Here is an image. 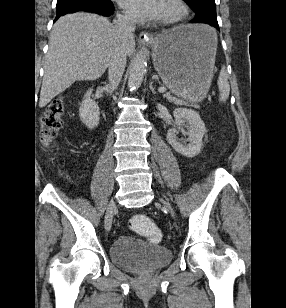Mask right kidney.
Returning <instances> with one entry per match:
<instances>
[{"instance_id": "ca27d5eb", "label": "right kidney", "mask_w": 286, "mask_h": 308, "mask_svg": "<svg viewBox=\"0 0 286 308\" xmlns=\"http://www.w3.org/2000/svg\"><path fill=\"white\" fill-rule=\"evenodd\" d=\"M92 89H89L80 104L79 117L81 121L89 128L94 129L99 124V106L91 99Z\"/></svg>"}]
</instances>
